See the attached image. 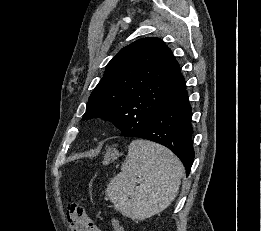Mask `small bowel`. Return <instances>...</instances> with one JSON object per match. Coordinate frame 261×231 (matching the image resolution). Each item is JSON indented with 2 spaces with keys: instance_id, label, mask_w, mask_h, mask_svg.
<instances>
[{
  "instance_id": "c3829d8e",
  "label": "small bowel",
  "mask_w": 261,
  "mask_h": 231,
  "mask_svg": "<svg viewBox=\"0 0 261 231\" xmlns=\"http://www.w3.org/2000/svg\"><path fill=\"white\" fill-rule=\"evenodd\" d=\"M68 228L70 231H82L80 226L72 224V223L68 224ZM91 231H105V230L100 225L93 223V229Z\"/></svg>"
}]
</instances>
